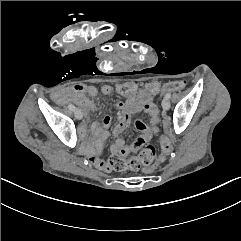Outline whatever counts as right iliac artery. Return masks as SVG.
I'll list each match as a JSON object with an SVG mask.
<instances>
[{
	"mask_svg": "<svg viewBox=\"0 0 241 241\" xmlns=\"http://www.w3.org/2000/svg\"><path fill=\"white\" fill-rule=\"evenodd\" d=\"M68 108H69L71 111H74V110H75V106L72 105V104L68 105Z\"/></svg>",
	"mask_w": 241,
	"mask_h": 241,
	"instance_id": "obj_1",
	"label": "right iliac artery"
}]
</instances>
